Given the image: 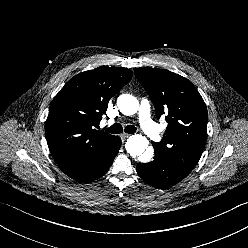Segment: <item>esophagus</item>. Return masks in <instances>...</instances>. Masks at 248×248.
I'll return each mask as SVG.
<instances>
[{
  "instance_id": "1",
  "label": "esophagus",
  "mask_w": 248,
  "mask_h": 248,
  "mask_svg": "<svg viewBox=\"0 0 248 248\" xmlns=\"http://www.w3.org/2000/svg\"><path fill=\"white\" fill-rule=\"evenodd\" d=\"M129 136H130V134H127V133L121 134L122 139H127Z\"/></svg>"
}]
</instances>
